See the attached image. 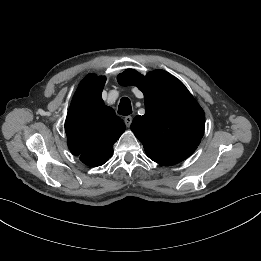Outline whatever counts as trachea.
Wrapping results in <instances>:
<instances>
[{"instance_id": "1", "label": "trachea", "mask_w": 261, "mask_h": 261, "mask_svg": "<svg viewBox=\"0 0 261 261\" xmlns=\"http://www.w3.org/2000/svg\"><path fill=\"white\" fill-rule=\"evenodd\" d=\"M118 113L124 116L130 115L132 113L131 103L128 98L123 97L120 100V104L118 106Z\"/></svg>"}]
</instances>
